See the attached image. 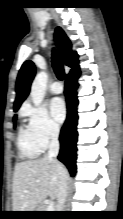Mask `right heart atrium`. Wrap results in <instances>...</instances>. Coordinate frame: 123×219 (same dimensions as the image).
<instances>
[{
    "label": "right heart atrium",
    "instance_id": "obj_1",
    "mask_svg": "<svg viewBox=\"0 0 123 219\" xmlns=\"http://www.w3.org/2000/svg\"><path fill=\"white\" fill-rule=\"evenodd\" d=\"M22 114L28 118V126L42 150L58 138L59 126L49 116L45 108L26 105L22 109Z\"/></svg>",
    "mask_w": 123,
    "mask_h": 219
}]
</instances>
